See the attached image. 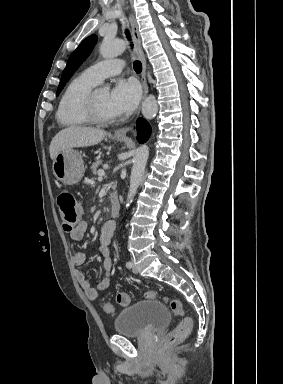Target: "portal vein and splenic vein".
<instances>
[{
    "label": "portal vein and splenic vein",
    "mask_w": 283,
    "mask_h": 384,
    "mask_svg": "<svg viewBox=\"0 0 283 384\" xmlns=\"http://www.w3.org/2000/svg\"><path fill=\"white\" fill-rule=\"evenodd\" d=\"M98 176L99 178H102V176H105L104 170H98Z\"/></svg>",
    "instance_id": "1"
}]
</instances>
